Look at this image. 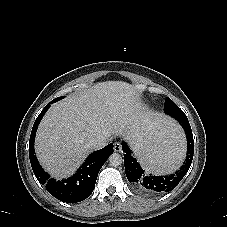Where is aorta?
Wrapping results in <instances>:
<instances>
[{
  "instance_id": "762f6f07",
  "label": "aorta",
  "mask_w": 227,
  "mask_h": 227,
  "mask_svg": "<svg viewBox=\"0 0 227 227\" xmlns=\"http://www.w3.org/2000/svg\"><path fill=\"white\" fill-rule=\"evenodd\" d=\"M123 162V158L119 153H113L109 157V163L113 167H117L121 165Z\"/></svg>"
}]
</instances>
